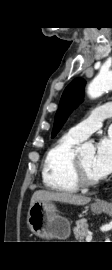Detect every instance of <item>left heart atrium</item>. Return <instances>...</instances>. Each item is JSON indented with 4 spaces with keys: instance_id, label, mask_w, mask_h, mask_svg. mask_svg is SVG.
Instances as JSON below:
<instances>
[{
    "instance_id": "1",
    "label": "left heart atrium",
    "mask_w": 112,
    "mask_h": 270,
    "mask_svg": "<svg viewBox=\"0 0 112 270\" xmlns=\"http://www.w3.org/2000/svg\"><path fill=\"white\" fill-rule=\"evenodd\" d=\"M92 169L98 178H104L112 172V135L99 140Z\"/></svg>"
}]
</instances>
